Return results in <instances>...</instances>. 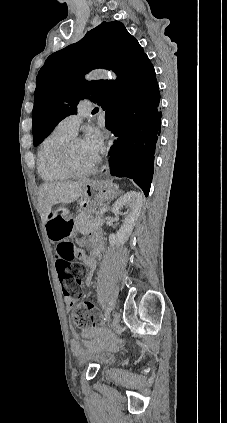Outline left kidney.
Here are the masks:
<instances>
[{
	"instance_id": "obj_1",
	"label": "left kidney",
	"mask_w": 227,
	"mask_h": 423,
	"mask_svg": "<svg viewBox=\"0 0 227 423\" xmlns=\"http://www.w3.org/2000/svg\"><path fill=\"white\" fill-rule=\"evenodd\" d=\"M143 204L142 194L140 192H127L124 196H121L115 204H113L112 211L113 213H120V210L126 206V208H130L128 211L120 229H118L117 233H110L109 241L111 245H122L127 241L129 235H131L133 231V227L135 225V221H137L140 211Z\"/></svg>"
}]
</instances>
